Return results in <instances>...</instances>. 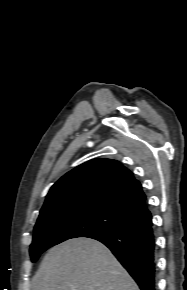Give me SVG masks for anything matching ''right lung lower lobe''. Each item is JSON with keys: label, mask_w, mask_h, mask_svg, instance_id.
<instances>
[{"label": "right lung lower lobe", "mask_w": 187, "mask_h": 290, "mask_svg": "<svg viewBox=\"0 0 187 290\" xmlns=\"http://www.w3.org/2000/svg\"><path fill=\"white\" fill-rule=\"evenodd\" d=\"M105 244L141 290H156L155 239L152 216L88 236Z\"/></svg>", "instance_id": "1"}]
</instances>
